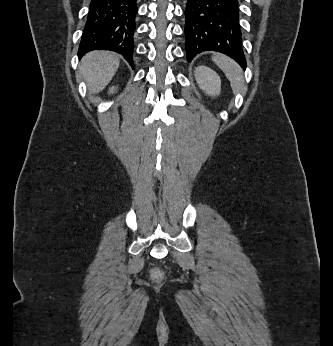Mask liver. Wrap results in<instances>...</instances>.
<instances>
[{
  "mask_svg": "<svg viewBox=\"0 0 333 346\" xmlns=\"http://www.w3.org/2000/svg\"><path fill=\"white\" fill-rule=\"evenodd\" d=\"M120 64L119 56L108 51L87 53L79 65L80 73L87 83L88 91H102L115 75Z\"/></svg>",
  "mask_w": 333,
  "mask_h": 346,
  "instance_id": "obj_1",
  "label": "liver"
}]
</instances>
